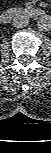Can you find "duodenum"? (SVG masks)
I'll use <instances>...</instances> for the list:
<instances>
[{
  "label": "duodenum",
  "instance_id": "410a0bca",
  "mask_svg": "<svg viewBox=\"0 0 51 153\" xmlns=\"http://www.w3.org/2000/svg\"><path fill=\"white\" fill-rule=\"evenodd\" d=\"M45 12L40 8H9L3 11L1 20L4 23L10 22L17 17L36 18L44 16Z\"/></svg>",
  "mask_w": 51,
  "mask_h": 153
}]
</instances>
